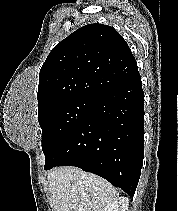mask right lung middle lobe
<instances>
[{
    "instance_id": "dd1d6c3e",
    "label": "right lung middle lobe",
    "mask_w": 178,
    "mask_h": 211,
    "mask_svg": "<svg viewBox=\"0 0 178 211\" xmlns=\"http://www.w3.org/2000/svg\"><path fill=\"white\" fill-rule=\"evenodd\" d=\"M95 101L92 98H73L38 111L45 158L80 124Z\"/></svg>"
}]
</instances>
